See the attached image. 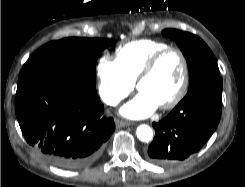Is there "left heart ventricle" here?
I'll return each instance as SVG.
<instances>
[{
  "instance_id": "obj_1",
  "label": "left heart ventricle",
  "mask_w": 245,
  "mask_h": 187,
  "mask_svg": "<svg viewBox=\"0 0 245 187\" xmlns=\"http://www.w3.org/2000/svg\"><path fill=\"white\" fill-rule=\"evenodd\" d=\"M182 72L179 56L169 52L161 58L153 73L141 82L138 90L147 93L160 106L177 92Z\"/></svg>"
}]
</instances>
